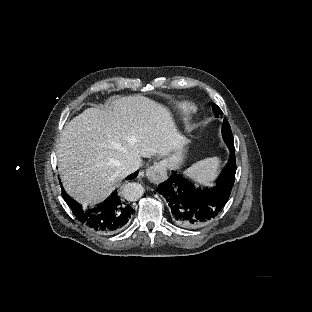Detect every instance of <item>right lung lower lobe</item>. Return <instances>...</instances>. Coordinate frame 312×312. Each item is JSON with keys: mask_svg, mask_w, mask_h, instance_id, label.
Returning a JSON list of instances; mask_svg holds the SVG:
<instances>
[{"mask_svg": "<svg viewBox=\"0 0 312 312\" xmlns=\"http://www.w3.org/2000/svg\"><path fill=\"white\" fill-rule=\"evenodd\" d=\"M137 175L138 172L128 176L127 179H134ZM62 196L78 221L102 234H112L122 230L134 213L131 205L116 190L102 204L90 209H82L81 205L70 198L64 189H62Z\"/></svg>", "mask_w": 312, "mask_h": 312, "instance_id": "right-lung-lower-lobe-1", "label": "right lung lower lobe"}]
</instances>
